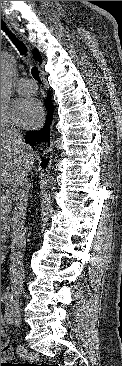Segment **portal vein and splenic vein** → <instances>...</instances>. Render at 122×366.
<instances>
[{
    "instance_id": "obj_1",
    "label": "portal vein and splenic vein",
    "mask_w": 122,
    "mask_h": 366,
    "mask_svg": "<svg viewBox=\"0 0 122 366\" xmlns=\"http://www.w3.org/2000/svg\"><path fill=\"white\" fill-rule=\"evenodd\" d=\"M9 199V192L1 195V200Z\"/></svg>"
}]
</instances>
